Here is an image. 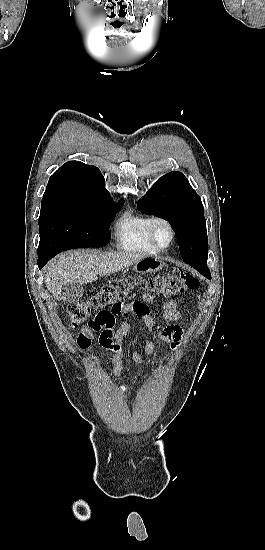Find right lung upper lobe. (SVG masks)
Segmentation results:
<instances>
[{
	"label": "right lung upper lobe",
	"instance_id": "cb5924a9",
	"mask_svg": "<svg viewBox=\"0 0 265 550\" xmlns=\"http://www.w3.org/2000/svg\"><path fill=\"white\" fill-rule=\"evenodd\" d=\"M104 184V177L97 167L69 161L50 177L42 201L112 199Z\"/></svg>",
	"mask_w": 265,
	"mask_h": 550
}]
</instances>
